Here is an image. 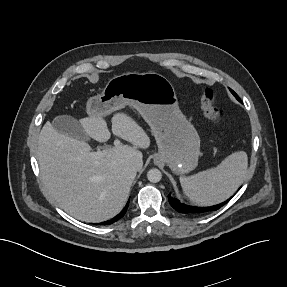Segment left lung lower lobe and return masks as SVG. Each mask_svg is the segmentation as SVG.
I'll list each match as a JSON object with an SVG mask.
<instances>
[{
	"mask_svg": "<svg viewBox=\"0 0 287 287\" xmlns=\"http://www.w3.org/2000/svg\"><path fill=\"white\" fill-rule=\"evenodd\" d=\"M230 199H228L227 201H225V202H223L221 204L214 205V206H211V207H195V206L186 205V204L180 202L178 199L168 195V200H169L170 205L177 212H179L181 214H184V215H189V216H197V215H202V214H205V213H208V212H211V211H216L220 207L225 205Z\"/></svg>",
	"mask_w": 287,
	"mask_h": 287,
	"instance_id": "0a47b994",
	"label": "left lung lower lobe"
}]
</instances>
